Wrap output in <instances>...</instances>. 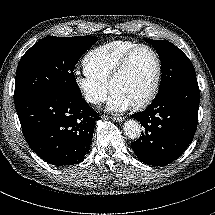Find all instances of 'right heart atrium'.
Wrapping results in <instances>:
<instances>
[{
	"mask_svg": "<svg viewBox=\"0 0 215 215\" xmlns=\"http://www.w3.org/2000/svg\"><path fill=\"white\" fill-rule=\"evenodd\" d=\"M73 80L80 95L88 104L97 106L106 99L108 85L101 80L80 70L74 72Z\"/></svg>",
	"mask_w": 215,
	"mask_h": 215,
	"instance_id": "right-heart-atrium-1",
	"label": "right heart atrium"
}]
</instances>
